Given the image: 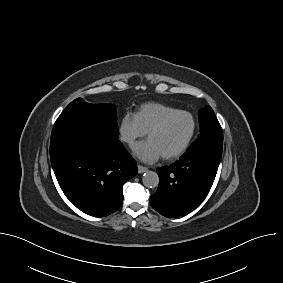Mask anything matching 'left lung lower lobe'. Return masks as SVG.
<instances>
[{"label": "left lung lower lobe", "instance_id": "left-lung-lower-lobe-1", "mask_svg": "<svg viewBox=\"0 0 283 283\" xmlns=\"http://www.w3.org/2000/svg\"><path fill=\"white\" fill-rule=\"evenodd\" d=\"M222 154L205 148L187 151L174 164L157 169L159 186L150 204L161 215L175 218L193 211L207 196Z\"/></svg>", "mask_w": 283, "mask_h": 283}]
</instances>
